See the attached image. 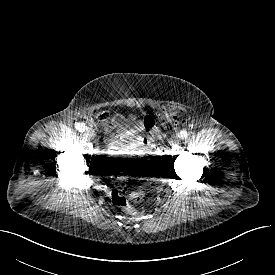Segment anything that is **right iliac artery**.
I'll list each match as a JSON object with an SVG mask.
<instances>
[{
  "instance_id": "obj_1",
  "label": "right iliac artery",
  "mask_w": 275,
  "mask_h": 275,
  "mask_svg": "<svg viewBox=\"0 0 275 275\" xmlns=\"http://www.w3.org/2000/svg\"><path fill=\"white\" fill-rule=\"evenodd\" d=\"M76 129L81 131V132H84L87 129V126L84 123H78L76 125Z\"/></svg>"
}]
</instances>
